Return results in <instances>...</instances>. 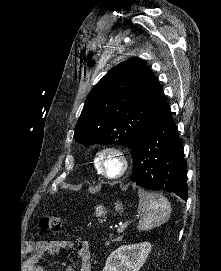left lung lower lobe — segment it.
<instances>
[{"instance_id":"1","label":"left lung lower lobe","mask_w":221,"mask_h":271,"mask_svg":"<svg viewBox=\"0 0 221 271\" xmlns=\"http://www.w3.org/2000/svg\"><path fill=\"white\" fill-rule=\"evenodd\" d=\"M132 181L149 190H163L187 200L186 161L171 112L148 127L131 146Z\"/></svg>"}]
</instances>
